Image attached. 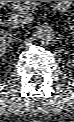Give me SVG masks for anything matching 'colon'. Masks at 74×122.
I'll return each mask as SVG.
<instances>
[{"label":"colon","instance_id":"1","mask_svg":"<svg viewBox=\"0 0 74 122\" xmlns=\"http://www.w3.org/2000/svg\"><path fill=\"white\" fill-rule=\"evenodd\" d=\"M60 2L62 3V7H65L68 1H60Z\"/></svg>","mask_w":74,"mask_h":122}]
</instances>
